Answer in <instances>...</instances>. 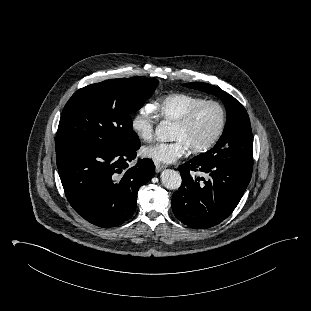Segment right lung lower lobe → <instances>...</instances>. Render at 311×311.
<instances>
[{
	"label": "right lung lower lobe",
	"mask_w": 311,
	"mask_h": 311,
	"mask_svg": "<svg viewBox=\"0 0 311 311\" xmlns=\"http://www.w3.org/2000/svg\"><path fill=\"white\" fill-rule=\"evenodd\" d=\"M134 149L105 152L87 148L56 151V163L67 200L88 222L102 228L118 226L133 215L137 192L154 175L151 159L138 160Z\"/></svg>",
	"instance_id": "right-lung-lower-lobe-1"
}]
</instances>
